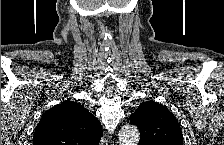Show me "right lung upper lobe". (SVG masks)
Listing matches in <instances>:
<instances>
[{"label":"right lung upper lobe","instance_id":"right-lung-upper-lobe-1","mask_svg":"<svg viewBox=\"0 0 224 145\" xmlns=\"http://www.w3.org/2000/svg\"><path fill=\"white\" fill-rule=\"evenodd\" d=\"M101 136L99 120L80 103L66 100L44 113L33 145H98Z\"/></svg>","mask_w":224,"mask_h":145}]
</instances>
